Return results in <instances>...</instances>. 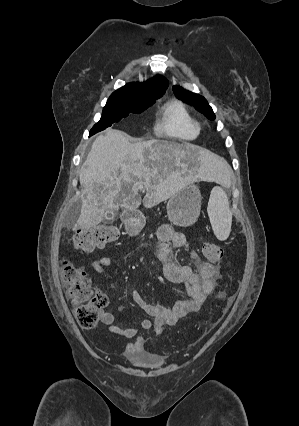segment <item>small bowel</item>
Listing matches in <instances>:
<instances>
[{
	"label": "small bowel",
	"mask_w": 299,
	"mask_h": 426,
	"mask_svg": "<svg viewBox=\"0 0 299 426\" xmlns=\"http://www.w3.org/2000/svg\"><path fill=\"white\" fill-rule=\"evenodd\" d=\"M159 241L158 258L162 264L164 276L172 283L183 284L187 298L178 301L173 307L167 308L155 305L145 300L138 291L131 292L132 300L150 317L151 320H142L138 327L123 328L116 324V317L109 311L101 310L99 317L101 323L114 335L125 338H134L127 344L123 355L134 362H149L157 360V356L148 352L146 344L148 339L140 334V331H151L161 334L166 325H174L181 318L197 311L206 297L212 293L216 282L221 278V270L218 266L204 261L194 251L190 252L195 260L196 267L192 269L188 265H181L171 258L172 249L182 248L186 245L185 236L176 232L170 225H162L157 231ZM112 265L108 256H102L92 263L95 272L103 274L105 269Z\"/></svg>",
	"instance_id": "1"
}]
</instances>
